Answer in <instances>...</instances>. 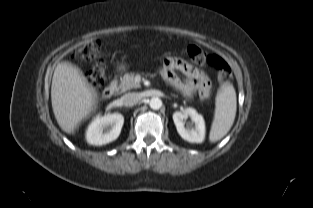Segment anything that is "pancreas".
Masks as SVG:
<instances>
[{
	"label": "pancreas",
	"instance_id": "obj_1",
	"mask_svg": "<svg viewBox=\"0 0 313 208\" xmlns=\"http://www.w3.org/2000/svg\"><path fill=\"white\" fill-rule=\"evenodd\" d=\"M135 74L134 73H126L121 78V82L116 90L118 94H121L123 92H126L127 90L133 89V88H140V84L136 83L135 80Z\"/></svg>",
	"mask_w": 313,
	"mask_h": 208
}]
</instances>
